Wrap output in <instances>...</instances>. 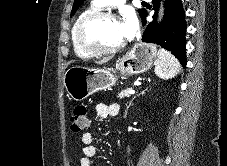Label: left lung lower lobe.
<instances>
[{
  "label": "left lung lower lobe",
  "mask_w": 227,
  "mask_h": 166,
  "mask_svg": "<svg viewBox=\"0 0 227 166\" xmlns=\"http://www.w3.org/2000/svg\"><path fill=\"white\" fill-rule=\"evenodd\" d=\"M152 3L155 10L154 20L146 26L142 41L156 43L171 51L185 67L187 62L185 52L186 22L182 1L165 0V16L159 25L156 22L159 0H153ZM145 17L146 11L142 18L143 26L146 25Z\"/></svg>",
  "instance_id": "0a47b994"
}]
</instances>
